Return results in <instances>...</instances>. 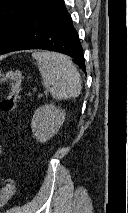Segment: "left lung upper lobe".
<instances>
[{"label":"left lung upper lobe","mask_w":128,"mask_h":213,"mask_svg":"<svg viewBox=\"0 0 128 213\" xmlns=\"http://www.w3.org/2000/svg\"><path fill=\"white\" fill-rule=\"evenodd\" d=\"M39 0H0V54Z\"/></svg>","instance_id":"obj_1"}]
</instances>
